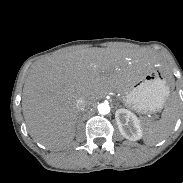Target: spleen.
I'll use <instances>...</instances> for the list:
<instances>
[{
    "label": "spleen",
    "instance_id": "3e777b00",
    "mask_svg": "<svg viewBox=\"0 0 183 183\" xmlns=\"http://www.w3.org/2000/svg\"><path fill=\"white\" fill-rule=\"evenodd\" d=\"M145 90L138 93L144 95ZM178 115V102L176 97H171L168 105L165 107L160 120L144 124L145 136L144 142L146 145L153 146L164 140L173 130Z\"/></svg>",
    "mask_w": 183,
    "mask_h": 183
}]
</instances>
